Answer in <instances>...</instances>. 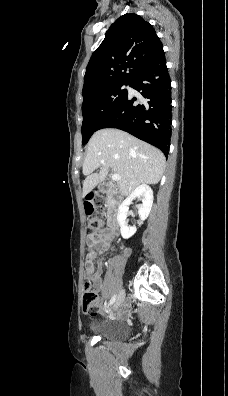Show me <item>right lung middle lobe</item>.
<instances>
[{
    "instance_id": "right-lung-middle-lobe-1",
    "label": "right lung middle lobe",
    "mask_w": 228,
    "mask_h": 396,
    "mask_svg": "<svg viewBox=\"0 0 228 396\" xmlns=\"http://www.w3.org/2000/svg\"><path fill=\"white\" fill-rule=\"evenodd\" d=\"M131 82L115 83L83 95L82 104V144H86L93 133L101 128L102 123L119 107L127 96L124 85Z\"/></svg>"
}]
</instances>
